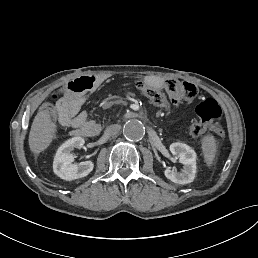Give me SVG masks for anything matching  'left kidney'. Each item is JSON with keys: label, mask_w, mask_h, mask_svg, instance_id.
<instances>
[{"label": "left kidney", "mask_w": 258, "mask_h": 258, "mask_svg": "<svg viewBox=\"0 0 258 258\" xmlns=\"http://www.w3.org/2000/svg\"><path fill=\"white\" fill-rule=\"evenodd\" d=\"M173 155L179 157V162L184 165L182 172L178 173L175 170L167 168L164 171L166 178L174 183L188 184L191 183L196 174V153L187 144L175 142L169 147Z\"/></svg>", "instance_id": "1"}]
</instances>
